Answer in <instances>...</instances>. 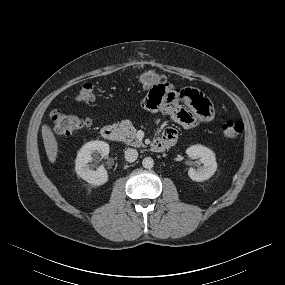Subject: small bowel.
I'll return each instance as SVG.
<instances>
[{"label": "small bowel", "mask_w": 285, "mask_h": 285, "mask_svg": "<svg viewBox=\"0 0 285 285\" xmlns=\"http://www.w3.org/2000/svg\"><path fill=\"white\" fill-rule=\"evenodd\" d=\"M146 95L141 101L144 109L167 113L176 123L187 129L211 122L215 117L211 101L195 88L187 87L180 92L171 85L160 82L151 85ZM177 136L174 128L167 127L160 138L173 144Z\"/></svg>", "instance_id": "obj_1"}]
</instances>
